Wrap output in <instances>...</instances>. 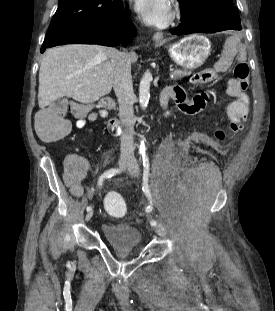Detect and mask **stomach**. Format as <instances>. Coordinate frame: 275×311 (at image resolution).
<instances>
[{
  "label": "stomach",
  "mask_w": 275,
  "mask_h": 311,
  "mask_svg": "<svg viewBox=\"0 0 275 311\" xmlns=\"http://www.w3.org/2000/svg\"><path fill=\"white\" fill-rule=\"evenodd\" d=\"M171 59L179 66L187 69L200 67L211 51L210 41L198 34L190 35L179 42L168 45Z\"/></svg>",
  "instance_id": "1"
}]
</instances>
